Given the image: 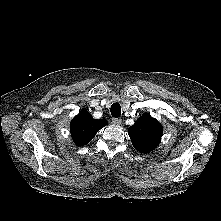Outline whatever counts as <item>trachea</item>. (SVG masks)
Returning a JSON list of instances; mask_svg holds the SVG:
<instances>
[{
  "mask_svg": "<svg viewBox=\"0 0 221 221\" xmlns=\"http://www.w3.org/2000/svg\"><path fill=\"white\" fill-rule=\"evenodd\" d=\"M110 111H111V115L114 118H118L121 115V106H120V104L119 103L112 104Z\"/></svg>",
  "mask_w": 221,
  "mask_h": 221,
  "instance_id": "obj_1",
  "label": "trachea"
}]
</instances>
